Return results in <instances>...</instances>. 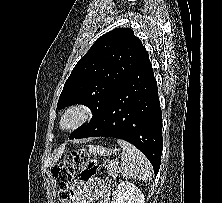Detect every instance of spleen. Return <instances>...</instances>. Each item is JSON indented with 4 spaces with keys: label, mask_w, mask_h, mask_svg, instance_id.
Masks as SVG:
<instances>
[{
    "label": "spleen",
    "mask_w": 222,
    "mask_h": 203,
    "mask_svg": "<svg viewBox=\"0 0 222 203\" xmlns=\"http://www.w3.org/2000/svg\"><path fill=\"white\" fill-rule=\"evenodd\" d=\"M122 148L120 173L126 178L151 180V164L135 146L124 140H117Z\"/></svg>",
    "instance_id": "1"
}]
</instances>
